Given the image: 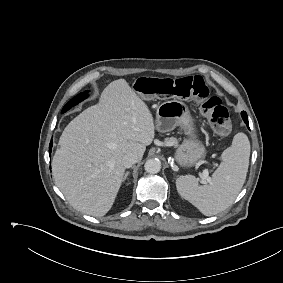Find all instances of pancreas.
Returning a JSON list of instances; mask_svg holds the SVG:
<instances>
[{
    "label": "pancreas",
    "instance_id": "1",
    "mask_svg": "<svg viewBox=\"0 0 283 283\" xmlns=\"http://www.w3.org/2000/svg\"><path fill=\"white\" fill-rule=\"evenodd\" d=\"M167 141L171 142L172 145L177 146L178 141H177L176 138H169V139H167Z\"/></svg>",
    "mask_w": 283,
    "mask_h": 283
}]
</instances>
